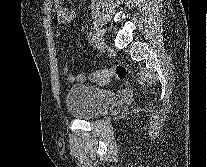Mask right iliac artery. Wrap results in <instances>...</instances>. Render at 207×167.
<instances>
[{
	"label": "right iliac artery",
	"mask_w": 207,
	"mask_h": 167,
	"mask_svg": "<svg viewBox=\"0 0 207 167\" xmlns=\"http://www.w3.org/2000/svg\"><path fill=\"white\" fill-rule=\"evenodd\" d=\"M88 41L91 45H93V43L95 42V34L90 32V34L88 35Z\"/></svg>",
	"instance_id": "1"
}]
</instances>
